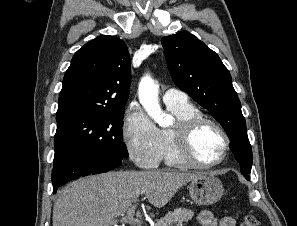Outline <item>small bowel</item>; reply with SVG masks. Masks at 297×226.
Returning <instances> with one entry per match:
<instances>
[{
  "instance_id": "1",
  "label": "small bowel",
  "mask_w": 297,
  "mask_h": 226,
  "mask_svg": "<svg viewBox=\"0 0 297 226\" xmlns=\"http://www.w3.org/2000/svg\"><path fill=\"white\" fill-rule=\"evenodd\" d=\"M196 220L200 226H235L232 217L224 216L217 219L211 212L206 210L199 212Z\"/></svg>"
}]
</instances>
